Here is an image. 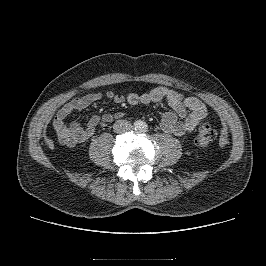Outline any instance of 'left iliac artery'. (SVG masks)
<instances>
[{
	"label": "left iliac artery",
	"mask_w": 266,
	"mask_h": 266,
	"mask_svg": "<svg viewBox=\"0 0 266 266\" xmlns=\"http://www.w3.org/2000/svg\"><path fill=\"white\" fill-rule=\"evenodd\" d=\"M147 129H148V126L145 123H143L141 127V131H146Z\"/></svg>",
	"instance_id": "obj_1"
}]
</instances>
